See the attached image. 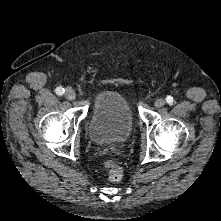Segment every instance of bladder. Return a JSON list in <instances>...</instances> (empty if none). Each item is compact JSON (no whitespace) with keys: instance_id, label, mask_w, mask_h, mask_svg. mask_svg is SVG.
<instances>
[{"instance_id":"31cf9c89","label":"bladder","mask_w":221,"mask_h":221,"mask_svg":"<svg viewBox=\"0 0 221 221\" xmlns=\"http://www.w3.org/2000/svg\"><path fill=\"white\" fill-rule=\"evenodd\" d=\"M133 124V113L127 99L119 92L105 91L93 104L88 132L96 143L117 144L129 138Z\"/></svg>"}]
</instances>
